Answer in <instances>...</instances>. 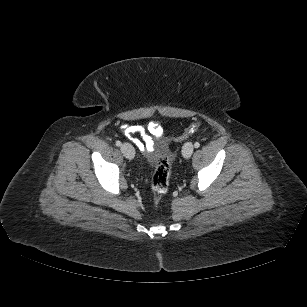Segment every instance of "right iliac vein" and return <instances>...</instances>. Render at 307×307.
Returning <instances> with one entry per match:
<instances>
[{
    "instance_id": "right-iliac-vein-1",
    "label": "right iliac vein",
    "mask_w": 307,
    "mask_h": 307,
    "mask_svg": "<svg viewBox=\"0 0 307 307\" xmlns=\"http://www.w3.org/2000/svg\"><path fill=\"white\" fill-rule=\"evenodd\" d=\"M121 152L123 153V155L131 160L134 158L135 156V151H134V148L132 145L128 144V143H124L122 146H121Z\"/></svg>"
}]
</instances>
